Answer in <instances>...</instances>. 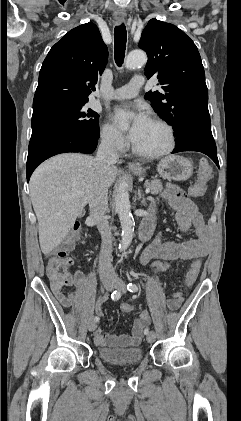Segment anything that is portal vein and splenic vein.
Here are the masks:
<instances>
[{"instance_id":"obj_1","label":"portal vein and splenic vein","mask_w":241,"mask_h":421,"mask_svg":"<svg viewBox=\"0 0 241 421\" xmlns=\"http://www.w3.org/2000/svg\"><path fill=\"white\" fill-rule=\"evenodd\" d=\"M145 192L146 193H149L150 192V189L149 188H146ZM81 196H82V192L77 191V192H74V193H71V194L65 196V198H74V197H81Z\"/></svg>"}]
</instances>
